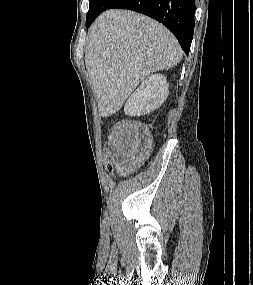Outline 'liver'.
Returning <instances> with one entry per match:
<instances>
[{
  "instance_id": "liver-1",
  "label": "liver",
  "mask_w": 253,
  "mask_h": 285,
  "mask_svg": "<svg viewBox=\"0 0 253 285\" xmlns=\"http://www.w3.org/2000/svg\"><path fill=\"white\" fill-rule=\"evenodd\" d=\"M88 36L85 65L103 117L119 111L151 73L174 67L183 56L168 29L130 10L105 11Z\"/></svg>"
}]
</instances>
